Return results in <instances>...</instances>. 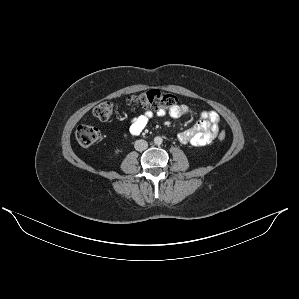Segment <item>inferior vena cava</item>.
Here are the masks:
<instances>
[{"instance_id":"1","label":"inferior vena cava","mask_w":299,"mask_h":299,"mask_svg":"<svg viewBox=\"0 0 299 299\" xmlns=\"http://www.w3.org/2000/svg\"><path fill=\"white\" fill-rule=\"evenodd\" d=\"M134 147L137 151H144L148 147V143L145 140H137L135 141Z\"/></svg>"}]
</instances>
